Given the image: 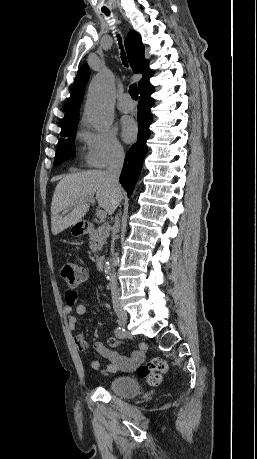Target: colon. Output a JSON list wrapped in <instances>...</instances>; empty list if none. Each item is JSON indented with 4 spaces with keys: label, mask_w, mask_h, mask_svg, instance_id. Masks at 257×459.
<instances>
[{
    "label": "colon",
    "mask_w": 257,
    "mask_h": 459,
    "mask_svg": "<svg viewBox=\"0 0 257 459\" xmlns=\"http://www.w3.org/2000/svg\"><path fill=\"white\" fill-rule=\"evenodd\" d=\"M60 272L64 281L70 286H76L85 279L83 268L74 263H63ZM168 370V363L164 359L152 358L147 363L139 365L136 372L139 378L145 379L151 386H156Z\"/></svg>",
    "instance_id": "5ec220e1"
}]
</instances>
